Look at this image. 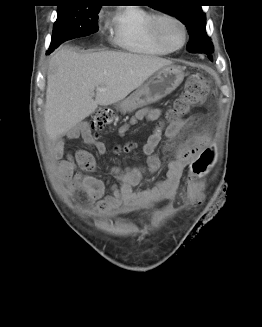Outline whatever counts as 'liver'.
Instances as JSON below:
<instances>
[{
    "mask_svg": "<svg viewBox=\"0 0 262 327\" xmlns=\"http://www.w3.org/2000/svg\"><path fill=\"white\" fill-rule=\"evenodd\" d=\"M172 61L115 51L77 53L67 46L49 60L44 126L50 140L67 133L100 106L123 100ZM104 88L97 91L95 88Z\"/></svg>",
    "mask_w": 262,
    "mask_h": 327,
    "instance_id": "6515ba94",
    "label": "liver"
}]
</instances>
